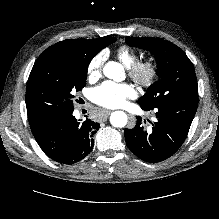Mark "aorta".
I'll list each match as a JSON object with an SVG mask.
<instances>
[{"label":"aorta","mask_w":219,"mask_h":219,"mask_svg":"<svg viewBox=\"0 0 219 219\" xmlns=\"http://www.w3.org/2000/svg\"><path fill=\"white\" fill-rule=\"evenodd\" d=\"M104 75L113 80H117L122 73V66L114 61L105 64L103 68ZM110 123L117 128H123L127 124V115L123 111H115L110 116Z\"/></svg>","instance_id":"1"}]
</instances>
